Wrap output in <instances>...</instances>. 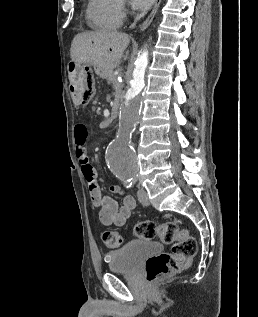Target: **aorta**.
Listing matches in <instances>:
<instances>
[{
	"mask_svg": "<svg viewBox=\"0 0 258 317\" xmlns=\"http://www.w3.org/2000/svg\"><path fill=\"white\" fill-rule=\"evenodd\" d=\"M148 64V52L144 50L135 61L130 87L120 107L119 128L115 140L107 151V163L113 174L122 180L134 179L139 171L137 154L131 138L139 119L144 88V75Z\"/></svg>",
	"mask_w": 258,
	"mask_h": 317,
	"instance_id": "762f6f07",
	"label": "aorta"
}]
</instances>
